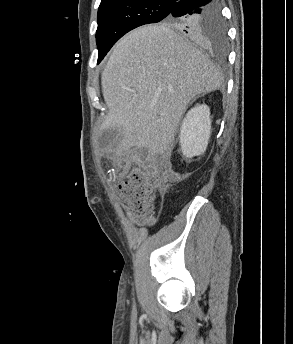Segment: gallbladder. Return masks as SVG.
I'll use <instances>...</instances> for the list:
<instances>
[{
  "label": "gallbladder",
  "mask_w": 293,
  "mask_h": 344,
  "mask_svg": "<svg viewBox=\"0 0 293 344\" xmlns=\"http://www.w3.org/2000/svg\"><path fill=\"white\" fill-rule=\"evenodd\" d=\"M119 138V130L116 127L109 128L104 130L99 136L98 143L101 148L110 149L116 146Z\"/></svg>",
  "instance_id": "obj_1"
}]
</instances>
